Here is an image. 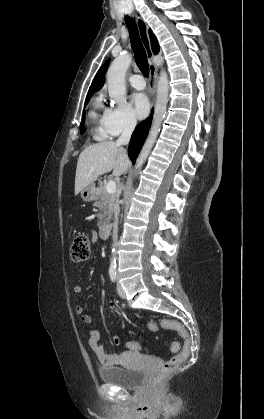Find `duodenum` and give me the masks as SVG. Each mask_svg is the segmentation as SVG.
Instances as JSON below:
<instances>
[{
    "mask_svg": "<svg viewBox=\"0 0 264 419\" xmlns=\"http://www.w3.org/2000/svg\"><path fill=\"white\" fill-rule=\"evenodd\" d=\"M112 231V226L109 223H105L102 225L100 229V235L103 239H107L110 237Z\"/></svg>",
    "mask_w": 264,
    "mask_h": 419,
    "instance_id": "1",
    "label": "duodenum"
}]
</instances>
